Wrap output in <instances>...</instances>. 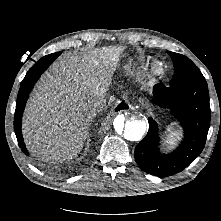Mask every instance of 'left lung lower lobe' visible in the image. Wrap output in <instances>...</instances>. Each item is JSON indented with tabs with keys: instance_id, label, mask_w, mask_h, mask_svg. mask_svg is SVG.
I'll list each match as a JSON object with an SVG mask.
<instances>
[{
	"instance_id": "1",
	"label": "left lung lower lobe",
	"mask_w": 221,
	"mask_h": 221,
	"mask_svg": "<svg viewBox=\"0 0 221 221\" xmlns=\"http://www.w3.org/2000/svg\"><path fill=\"white\" fill-rule=\"evenodd\" d=\"M152 102L172 112L184 130V138L175 151L160 153L158 126L153 118H149L148 133L136 146L134 157L146 173L171 176L186 168L205 146L210 126L207 82L205 79L194 80L168 87L156 84Z\"/></svg>"
}]
</instances>
